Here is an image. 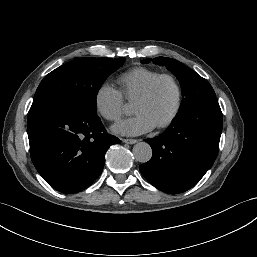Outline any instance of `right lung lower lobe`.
I'll list each match as a JSON object with an SVG mask.
<instances>
[{"label": "right lung lower lobe", "mask_w": 257, "mask_h": 257, "mask_svg": "<svg viewBox=\"0 0 257 257\" xmlns=\"http://www.w3.org/2000/svg\"><path fill=\"white\" fill-rule=\"evenodd\" d=\"M28 138L35 168L63 193H77L93 183L108 148L121 142L107 134L98 115L69 108L30 109Z\"/></svg>", "instance_id": "right-lung-lower-lobe-1"}]
</instances>
